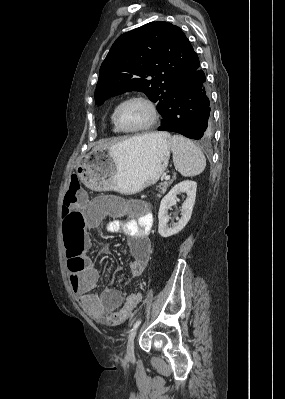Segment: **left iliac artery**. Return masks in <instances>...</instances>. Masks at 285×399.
Instances as JSON below:
<instances>
[{
  "label": "left iliac artery",
  "instance_id": "1",
  "mask_svg": "<svg viewBox=\"0 0 285 399\" xmlns=\"http://www.w3.org/2000/svg\"><path fill=\"white\" fill-rule=\"evenodd\" d=\"M142 319H139L135 322L133 329H136L141 324Z\"/></svg>",
  "mask_w": 285,
  "mask_h": 399
}]
</instances>
